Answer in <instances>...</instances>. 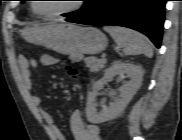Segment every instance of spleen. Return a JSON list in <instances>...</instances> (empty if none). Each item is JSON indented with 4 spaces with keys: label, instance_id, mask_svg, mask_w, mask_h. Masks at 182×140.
Segmentation results:
<instances>
[{
    "label": "spleen",
    "instance_id": "spleen-1",
    "mask_svg": "<svg viewBox=\"0 0 182 140\" xmlns=\"http://www.w3.org/2000/svg\"><path fill=\"white\" fill-rule=\"evenodd\" d=\"M104 30L123 48L124 55L144 54L149 58L153 56L149 39L141 33L119 26H105Z\"/></svg>",
    "mask_w": 182,
    "mask_h": 140
}]
</instances>
